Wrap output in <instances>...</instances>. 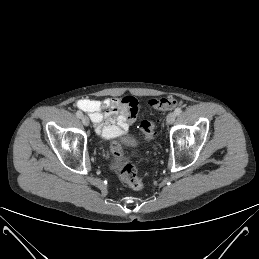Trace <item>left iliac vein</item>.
Returning a JSON list of instances; mask_svg holds the SVG:
<instances>
[{
	"label": "left iliac vein",
	"instance_id": "obj_1",
	"mask_svg": "<svg viewBox=\"0 0 259 259\" xmlns=\"http://www.w3.org/2000/svg\"><path fill=\"white\" fill-rule=\"evenodd\" d=\"M175 119H176V114L174 112L169 113L166 117V121L168 124L174 123Z\"/></svg>",
	"mask_w": 259,
	"mask_h": 259
}]
</instances>
